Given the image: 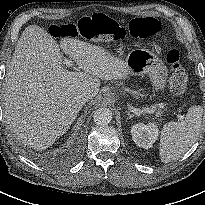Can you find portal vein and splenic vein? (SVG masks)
<instances>
[{
	"mask_svg": "<svg viewBox=\"0 0 205 205\" xmlns=\"http://www.w3.org/2000/svg\"><path fill=\"white\" fill-rule=\"evenodd\" d=\"M65 64H66L67 67H71L73 65L71 59H66ZM142 111L145 112V113H150V114L155 112V110L152 109V108H143ZM179 118H183V117L179 116Z\"/></svg>",
	"mask_w": 205,
	"mask_h": 205,
	"instance_id": "1",
	"label": "portal vein and splenic vein"
}]
</instances>
